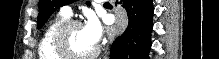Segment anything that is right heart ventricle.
I'll return each instance as SVG.
<instances>
[{
	"mask_svg": "<svg viewBox=\"0 0 219 59\" xmlns=\"http://www.w3.org/2000/svg\"><path fill=\"white\" fill-rule=\"evenodd\" d=\"M66 20L68 17L59 13L45 26L38 43L39 59H64L54 49V36L59 26Z\"/></svg>",
	"mask_w": 219,
	"mask_h": 59,
	"instance_id": "obj_1",
	"label": "right heart ventricle"
}]
</instances>
